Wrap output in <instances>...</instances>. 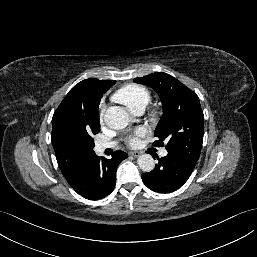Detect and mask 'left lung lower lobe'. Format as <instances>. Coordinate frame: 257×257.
I'll return each mask as SVG.
<instances>
[{
    "label": "left lung lower lobe",
    "mask_w": 257,
    "mask_h": 257,
    "mask_svg": "<svg viewBox=\"0 0 257 257\" xmlns=\"http://www.w3.org/2000/svg\"><path fill=\"white\" fill-rule=\"evenodd\" d=\"M158 160L151 172L142 174V180L149 189L159 193H170L184 185L197 163V160L173 151Z\"/></svg>",
    "instance_id": "1"
}]
</instances>
